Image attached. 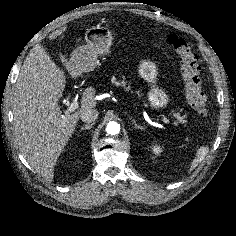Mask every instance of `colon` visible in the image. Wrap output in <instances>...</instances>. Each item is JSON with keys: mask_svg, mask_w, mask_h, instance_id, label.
I'll use <instances>...</instances> for the list:
<instances>
[{"mask_svg": "<svg viewBox=\"0 0 236 236\" xmlns=\"http://www.w3.org/2000/svg\"><path fill=\"white\" fill-rule=\"evenodd\" d=\"M168 43L178 56L188 103L200 116L205 117L208 114L207 102L202 91L198 57L193 46L177 35H170Z\"/></svg>", "mask_w": 236, "mask_h": 236, "instance_id": "5ec220e1", "label": "colon"}]
</instances>
